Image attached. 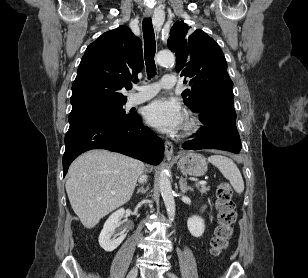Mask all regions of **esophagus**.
Returning <instances> with one entry per match:
<instances>
[{"label": "esophagus", "instance_id": "obj_1", "mask_svg": "<svg viewBox=\"0 0 308 278\" xmlns=\"http://www.w3.org/2000/svg\"><path fill=\"white\" fill-rule=\"evenodd\" d=\"M152 15V10H145L146 17H151ZM165 156L168 160H171L173 157V144L168 140L165 141Z\"/></svg>", "mask_w": 308, "mask_h": 278}]
</instances>
